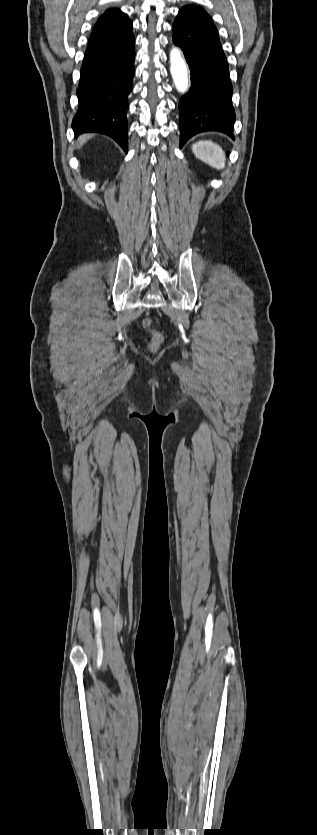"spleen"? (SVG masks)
<instances>
[{
    "mask_svg": "<svg viewBox=\"0 0 317 835\" xmlns=\"http://www.w3.org/2000/svg\"><path fill=\"white\" fill-rule=\"evenodd\" d=\"M192 151L198 159L209 166L218 170L225 168V152L218 144L208 140L199 141L192 145Z\"/></svg>",
    "mask_w": 317,
    "mask_h": 835,
    "instance_id": "1",
    "label": "spleen"
}]
</instances>
